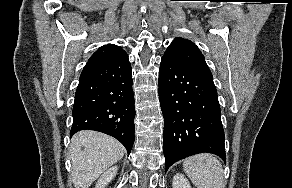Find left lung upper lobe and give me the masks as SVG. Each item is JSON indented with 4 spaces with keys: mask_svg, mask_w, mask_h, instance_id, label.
Masks as SVG:
<instances>
[{
    "mask_svg": "<svg viewBox=\"0 0 292 188\" xmlns=\"http://www.w3.org/2000/svg\"><path fill=\"white\" fill-rule=\"evenodd\" d=\"M163 56L200 73L212 76L203 54L190 40L175 38Z\"/></svg>",
    "mask_w": 292,
    "mask_h": 188,
    "instance_id": "obj_1",
    "label": "left lung upper lobe"
}]
</instances>
